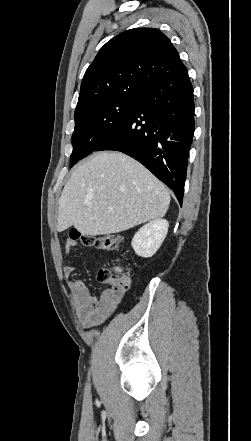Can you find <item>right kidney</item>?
Returning a JSON list of instances; mask_svg holds the SVG:
<instances>
[{
    "label": "right kidney",
    "mask_w": 251,
    "mask_h": 441,
    "mask_svg": "<svg viewBox=\"0 0 251 441\" xmlns=\"http://www.w3.org/2000/svg\"><path fill=\"white\" fill-rule=\"evenodd\" d=\"M168 227L167 220L156 219L140 228L131 243L135 253L144 258L152 257L164 241Z\"/></svg>",
    "instance_id": "right-kidney-1"
}]
</instances>
